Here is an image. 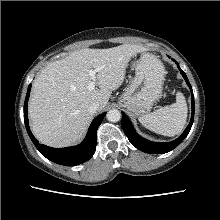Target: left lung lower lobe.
Listing matches in <instances>:
<instances>
[{
  "label": "left lung lower lobe",
  "instance_id": "0a47b994",
  "mask_svg": "<svg viewBox=\"0 0 220 220\" xmlns=\"http://www.w3.org/2000/svg\"><path fill=\"white\" fill-rule=\"evenodd\" d=\"M172 60L175 61L174 59H172ZM177 67L180 70V73L182 74L183 78L185 79L187 85L190 88L191 103H192V115H191L190 123L179 138H177L174 141L166 142V143L151 142L147 139H144L143 137H141L140 135H138L136 133L132 123L130 122L128 117L125 115V113L122 112V128H123L125 135L128 137L130 143L133 146H135L137 149H139L145 153L163 154V153H167V152L173 150L185 139V137L188 135V133L192 127L193 120H194V95H193L192 87L190 85V82H189L185 72L180 69L178 63H177Z\"/></svg>",
  "mask_w": 220,
  "mask_h": 220
}]
</instances>
